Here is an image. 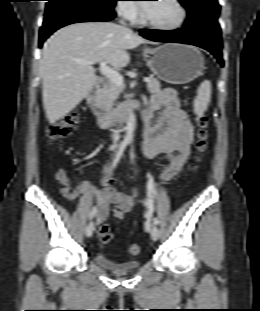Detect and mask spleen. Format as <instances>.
<instances>
[{"instance_id": "1", "label": "spleen", "mask_w": 260, "mask_h": 311, "mask_svg": "<svg viewBox=\"0 0 260 311\" xmlns=\"http://www.w3.org/2000/svg\"><path fill=\"white\" fill-rule=\"evenodd\" d=\"M211 98V82L204 80L199 88L197 97L194 99V111L198 116H202L207 110Z\"/></svg>"}]
</instances>
